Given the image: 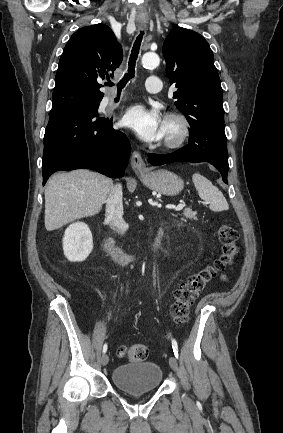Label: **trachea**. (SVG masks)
<instances>
[{
	"instance_id": "1",
	"label": "trachea",
	"mask_w": 283,
	"mask_h": 433,
	"mask_svg": "<svg viewBox=\"0 0 283 433\" xmlns=\"http://www.w3.org/2000/svg\"><path fill=\"white\" fill-rule=\"evenodd\" d=\"M143 35H144V31H140L139 35L137 36L136 40L134 41V44H133V47L131 50V55L129 57V62H128V71L124 75L122 80L117 84V91L118 92H121L122 89L125 87L126 83L131 78H133L135 76V65H136L138 55H139V50H140L141 42L143 39ZM106 85L108 87L114 86V84L112 82H108V83H106Z\"/></svg>"
}]
</instances>
